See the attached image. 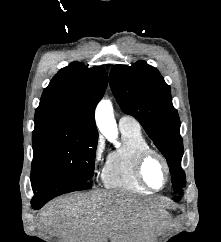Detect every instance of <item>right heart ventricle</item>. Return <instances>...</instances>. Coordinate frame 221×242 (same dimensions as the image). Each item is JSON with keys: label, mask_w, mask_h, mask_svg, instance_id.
<instances>
[{"label": "right heart ventricle", "mask_w": 221, "mask_h": 242, "mask_svg": "<svg viewBox=\"0 0 221 242\" xmlns=\"http://www.w3.org/2000/svg\"><path fill=\"white\" fill-rule=\"evenodd\" d=\"M123 144L107 155L102 169V180L109 189L133 193H150L137 178L135 163L138 154L149 148L141 130L120 128Z\"/></svg>", "instance_id": "obj_1"}]
</instances>
